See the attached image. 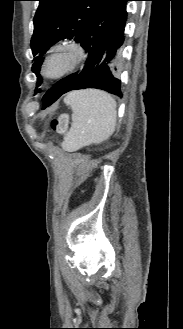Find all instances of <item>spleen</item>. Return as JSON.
<instances>
[{
    "instance_id": "3e777b00",
    "label": "spleen",
    "mask_w": 183,
    "mask_h": 329,
    "mask_svg": "<svg viewBox=\"0 0 183 329\" xmlns=\"http://www.w3.org/2000/svg\"><path fill=\"white\" fill-rule=\"evenodd\" d=\"M64 102L72 111V124L63 148L73 152L100 144L112 135L116 121V101L101 90L85 89L68 93Z\"/></svg>"
}]
</instances>
